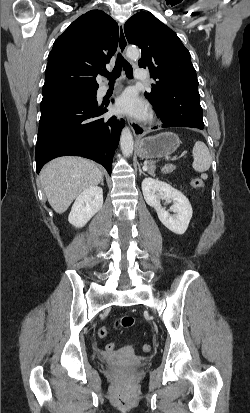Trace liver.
<instances>
[{"mask_svg":"<svg viewBox=\"0 0 250 413\" xmlns=\"http://www.w3.org/2000/svg\"><path fill=\"white\" fill-rule=\"evenodd\" d=\"M102 179L103 174L94 162L73 156L56 158L40 172L48 202L59 214L64 213L83 191L97 186Z\"/></svg>","mask_w":250,"mask_h":413,"instance_id":"liver-1","label":"liver"}]
</instances>
